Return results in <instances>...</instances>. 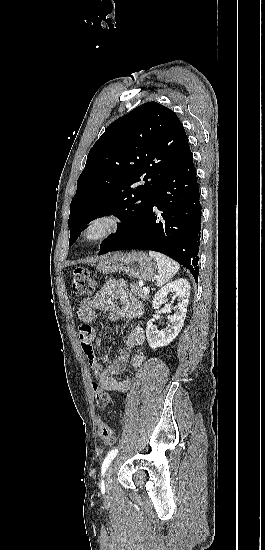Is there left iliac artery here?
I'll list each match as a JSON object with an SVG mask.
<instances>
[{"label": "left iliac artery", "instance_id": "obj_1", "mask_svg": "<svg viewBox=\"0 0 265 550\" xmlns=\"http://www.w3.org/2000/svg\"><path fill=\"white\" fill-rule=\"evenodd\" d=\"M117 453H118V449H113L107 454L106 458L103 461L102 468H101L102 476L104 475L105 471L108 469L110 463L115 458Z\"/></svg>", "mask_w": 265, "mask_h": 550}]
</instances>
